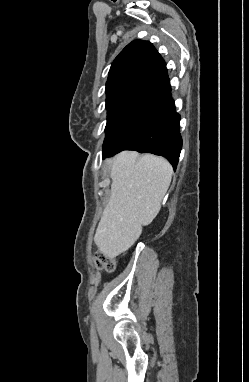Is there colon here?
Returning <instances> with one entry per match:
<instances>
[{
  "label": "colon",
  "mask_w": 249,
  "mask_h": 382,
  "mask_svg": "<svg viewBox=\"0 0 249 382\" xmlns=\"http://www.w3.org/2000/svg\"><path fill=\"white\" fill-rule=\"evenodd\" d=\"M95 265L99 269H104L108 272H113L116 267V261L114 258L108 256L103 252H98L95 257Z\"/></svg>",
  "instance_id": "colon-1"
}]
</instances>
